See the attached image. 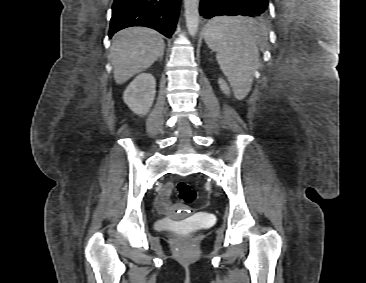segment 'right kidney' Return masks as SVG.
<instances>
[{"label":"right kidney","mask_w":366,"mask_h":283,"mask_svg":"<svg viewBox=\"0 0 366 283\" xmlns=\"http://www.w3.org/2000/svg\"><path fill=\"white\" fill-rule=\"evenodd\" d=\"M156 81L151 73L139 74L126 88L123 100L138 115H146L152 107Z\"/></svg>","instance_id":"ca27d5eb"}]
</instances>
